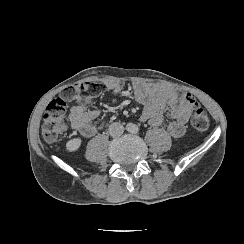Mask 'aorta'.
Instances as JSON below:
<instances>
[{
    "mask_svg": "<svg viewBox=\"0 0 244 244\" xmlns=\"http://www.w3.org/2000/svg\"><path fill=\"white\" fill-rule=\"evenodd\" d=\"M128 131H129V132H134V131H136V126H135L134 124H129V126H128Z\"/></svg>",
    "mask_w": 244,
    "mask_h": 244,
    "instance_id": "obj_1",
    "label": "aorta"
}]
</instances>
